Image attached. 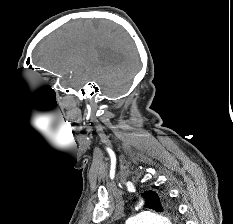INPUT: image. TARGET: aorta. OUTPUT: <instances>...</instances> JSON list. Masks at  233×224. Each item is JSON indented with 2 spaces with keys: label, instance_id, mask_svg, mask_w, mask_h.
I'll list each match as a JSON object with an SVG mask.
<instances>
[{
  "label": "aorta",
  "instance_id": "762f6f07",
  "mask_svg": "<svg viewBox=\"0 0 233 224\" xmlns=\"http://www.w3.org/2000/svg\"><path fill=\"white\" fill-rule=\"evenodd\" d=\"M126 224H171L169 220L152 212H141L129 218Z\"/></svg>",
  "mask_w": 233,
  "mask_h": 224
}]
</instances>
